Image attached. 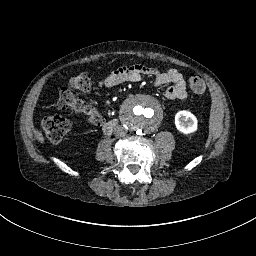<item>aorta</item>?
Returning a JSON list of instances; mask_svg holds the SVG:
<instances>
[{
  "label": "aorta",
  "instance_id": "1",
  "mask_svg": "<svg viewBox=\"0 0 256 256\" xmlns=\"http://www.w3.org/2000/svg\"><path fill=\"white\" fill-rule=\"evenodd\" d=\"M125 118L131 128L139 132H148L158 126L162 118V109L156 99L148 95H139L129 101L125 109Z\"/></svg>",
  "mask_w": 256,
  "mask_h": 256
}]
</instances>
